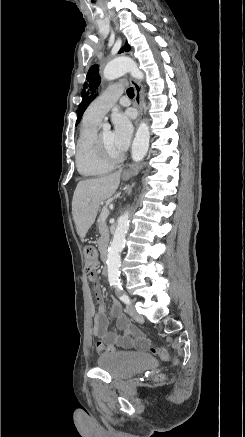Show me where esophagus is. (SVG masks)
<instances>
[{"instance_id": "34e87169", "label": "esophagus", "mask_w": 245, "mask_h": 437, "mask_svg": "<svg viewBox=\"0 0 245 437\" xmlns=\"http://www.w3.org/2000/svg\"><path fill=\"white\" fill-rule=\"evenodd\" d=\"M130 83L134 88L135 96H134V106L137 108L138 117L136 119L135 125L138 126L141 115H142V89L140 84L133 78H130Z\"/></svg>"}]
</instances>
